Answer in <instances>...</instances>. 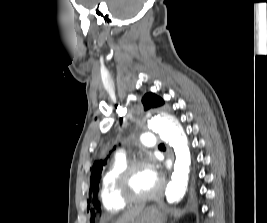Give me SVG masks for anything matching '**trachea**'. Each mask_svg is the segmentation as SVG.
I'll return each mask as SVG.
<instances>
[{
    "instance_id": "trachea-1",
    "label": "trachea",
    "mask_w": 267,
    "mask_h": 223,
    "mask_svg": "<svg viewBox=\"0 0 267 223\" xmlns=\"http://www.w3.org/2000/svg\"><path fill=\"white\" fill-rule=\"evenodd\" d=\"M159 147H164V144H163V143H161V144L159 145Z\"/></svg>"
}]
</instances>
